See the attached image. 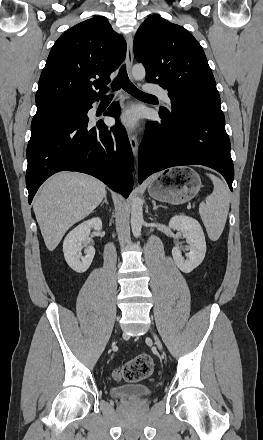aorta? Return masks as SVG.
<instances>
[{
    "mask_svg": "<svg viewBox=\"0 0 263 440\" xmlns=\"http://www.w3.org/2000/svg\"><path fill=\"white\" fill-rule=\"evenodd\" d=\"M146 75L145 68L141 64L134 65L132 76L135 80H142ZM143 224L142 201L139 197L133 196L131 201V228L134 237L138 238L141 234Z\"/></svg>",
    "mask_w": 263,
    "mask_h": 440,
    "instance_id": "obj_1",
    "label": "aorta"
}]
</instances>
